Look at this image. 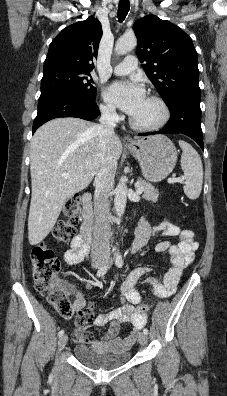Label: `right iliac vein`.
I'll return each instance as SVG.
<instances>
[{"label":"right iliac vein","mask_w":227,"mask_h":396,"mask_svg":"<svg viewBox=\"0 0 227 396\" xmlns=\"http://www.w3.org/2000/svg\"><path fill=\"white\" fill-rule=\"evenodd\" d=\"M104 262L102 260H96L93 262V267L94 268H101L103 266ZM68 341V336L67 335H63L60 337L59 341H58V351L61 352Z\"/></svg>","instance_id":"right-iliac-vein-1"}]
</instances>
